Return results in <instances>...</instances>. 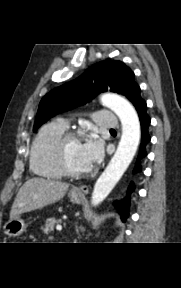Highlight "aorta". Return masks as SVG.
I'll list each match as a JSON object with an SVG mask.
<instances>
[{
  "label": "aorta",
  "instance_id": "obj_1",
  "mask_svg": "<svg viewBox=\"0 0 181 288\" xmlns=\"http://www.w3.org/2000/svg\"><path fill=\"white\" fill-rule=\"evenodd\" d=\"M101 103L119 117L122 136L114 156L95 183L91 197L93 206L99 205L120 180L137 151L141 136L138 115L129 101L115 94H104Z\"/></svg>",
  "mask_w": 181,
  "mask_h": 288
}]
</instances>
